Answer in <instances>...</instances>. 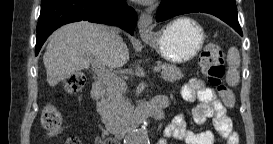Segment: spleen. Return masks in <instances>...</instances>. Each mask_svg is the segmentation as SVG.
I'll use <instances>...</instances> for the list:
<instances>
[{
	"label": "spleen",
	"instance_id": "1",
	"mask_svg": "<svg viewBox=\"0 0 273 144\" xmlns=\"http://www.w3.org/2000/svg\"><path fill=\"white\" fill-rule=\"evenodd\" d=\"M240 54L236 47H231L227 53V64L229 66L226 82L229 86H236L239 83L240 75L238 67L240 66Z\"/></svg>",
	"mask_w": 273,
	"mask_h": 144
}]
</instances>
